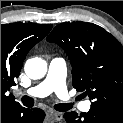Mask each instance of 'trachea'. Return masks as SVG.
Listing matches in <instances>:
<instances>
[{"mask_svg": "<svg viewBox=\"0 0 123 123\" xmlns=\"http://www.w3.org/2000/svg\"><path fill=\"white\" fill-rule=\"evenodd\" d=\"M22 103L26 106V107H33L34 105V99L29 97V96H23L21 98ZM73 107V105H71L70 103H60V104H56L54 106L55 110L60 111V112H65L70 110Z\"/></svg>", "mask_w": 123, "mask_h": 123, "instance_id": "1", "label": "trachea"}]
</instances>
